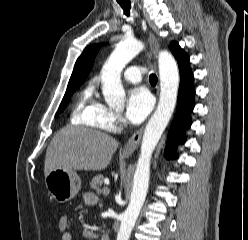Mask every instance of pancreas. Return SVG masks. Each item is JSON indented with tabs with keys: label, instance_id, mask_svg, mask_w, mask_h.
Segmentation results:
<instances>
[{
	"label": "pancreas",
	"instance_id": "cf45deb5",
	"mask_svg": "<svg viewBox=\"0 0 248 240\" xmlns=\"http://www.w3.org/2000/svg\"><path fill=\"white\" fill-rule=\"evenodd\" d=\"M103 184V176L102 175H97L95 176L92 181L90 182L91 188L96 190V192L99 194L101 193V186Z\"/></svg>",
	"mask_w": 248,
	"mask_h": 240
}]
</instances>
